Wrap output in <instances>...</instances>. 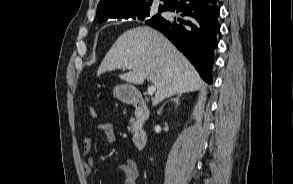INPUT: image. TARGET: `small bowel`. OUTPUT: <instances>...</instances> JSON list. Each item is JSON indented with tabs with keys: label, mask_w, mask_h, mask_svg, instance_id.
<instances>
[{
	"label": "small bowel",
	"mask_w": 293,
	"mask_h": 184,
	"mask_svg": "<svg viewBox=\"0 0 293 184\" xmlns=\"http://www.w3.org/2000/svg\"><path fill=\"white\" fill-rule=\"evenodd\" d=\"M96 130L100 132L107 143L115 141L114 127L110 122H99L95 126ZM92 139L85 137L83 141V155L84 161L82 165L83 174L90 176L94 168V159L91 156ZM118 170L124 175L123 184H138L139 183V170L136 162L128 159L126 162L118 167Z\"/></svg>",
	"instance_id": "small-bowel-1"
}]
</instances>
